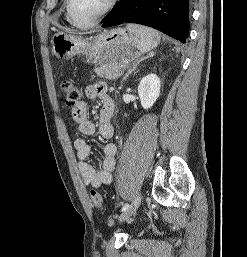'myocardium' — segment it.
Here are the masks:
<instances>
[{
	"label": "myocardium",
	"instance_id": "1",
	"mask_svg": "<svg viewBox=\"0 0 247 257\" xmlns=\"http://www.w3.org/2000/svg\"><path fill=\"white\" fill-rule=\"evenodd\" d=\"M117 2H118V0H109L108 4L104 8V10L94 20H92L88 23L82 24V23L77 22L72 16L71 0H65V8H66L67 18L74 26H76L78 28H82V29L90 28V27H93L96 24H98L104 17H106L116 6Z\"/></svg>",
	"mask_w": 247,
	"mask_h": 257
}]
</instances>
